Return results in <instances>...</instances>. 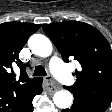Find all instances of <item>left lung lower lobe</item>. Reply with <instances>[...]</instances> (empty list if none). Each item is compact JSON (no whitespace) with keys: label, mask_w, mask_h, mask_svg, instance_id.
Masks as SVG:
<instances>
[{"label":"left lung lower lobe","mask_w":112,"mask_h":112,"mask_svg":"<svg viewBox=\"0 0 112 112\" xmlns=\"http://www.w3.org/2000/svg\"><path fill=\"white\" fill-rule=\"evenodd\" d=\"M109 105L107 102L75 98L71 108L61 112H104Z\"/></svg>","instance_id":"obj_1"}]
</instances>
